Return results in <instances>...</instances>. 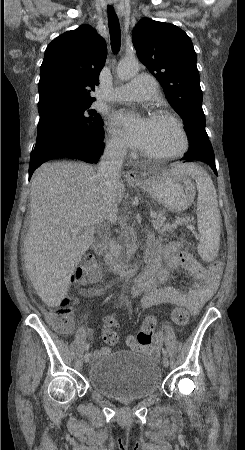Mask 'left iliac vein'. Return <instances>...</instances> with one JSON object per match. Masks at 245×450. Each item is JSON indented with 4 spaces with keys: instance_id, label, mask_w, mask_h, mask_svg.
I'll return each instance as SVG.
<instances>
[{
    "instance_id": "obj_1",
    "label": "left iliac vein",
    "mask_w": 245,
    "mask_h": 450,
    "mask_svg": "<svg viewBox=\"0 0 245 450\" xmlns=\"http://www.w3.org/2000/svg\"><path fill=\"white\" fill-rule=\"evenodd\" d=\"M162 364H163L164 367H168L169 366V360H168V358L166 356L163 357Z\"/></svg>"
}]
</instances>
